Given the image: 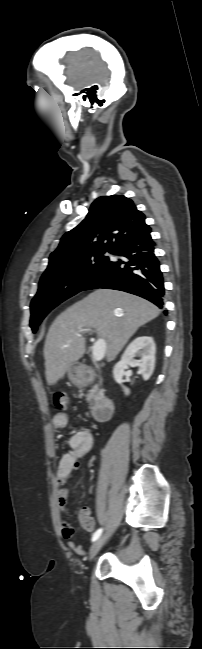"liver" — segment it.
<instances>
[{"label": "liver", "mask_w": 202, "mask_h": 649, "mask_svg": "<svg viewBox=\"0 0 202 649\" xmlns=\"http://www.w3.org/2000/svg\"><path fill=\"white\" fill-rule=\"evenodd\" d=\"M160 309L136 295L98 289L63 311L52 323L44 344L48 385L64 377L85 352L83 329H96L104 339L106 357L112 361L141 325L158 317Z\"/></svg>", "instance_id": "6515ba94"}]
</instances>
